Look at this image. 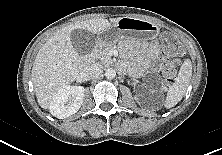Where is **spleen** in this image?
<instances>
[{"label":"spleen","mask_w":222,"mask_h":155,"mask_svg":"<svg viewBox=\"0 0 222 155\" xmlns=\"http://www.w3.org/2000/svg\"><path fill=\"white\" fill-rule=\"evenodd\" d=\"M192 76V64L190 60H185L182 64L178 77L175 78V82L168 89L167 96L164 102L165 108L169 109L174 107L181 101L186 93L187 87L190 83Z\"/></svg>","instance_id":"3e777b00"}]
</instances>
